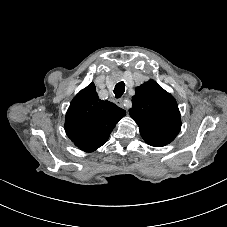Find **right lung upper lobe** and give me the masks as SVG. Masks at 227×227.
Instances as JSON below:
<instances>
[{"instance_id": "cb5924a9", "label": "right lung upper lobe", "mask_w": 227, "mask_h": 227, "mask_svg": "<svg viewBox=\"0 0 227 227\" xmlns=\"http://www.w3.org/2000/svg\"><path fill=\"white\" fill-rule=\"evenodd\" d=\"M125 113L114 103L100 100L94 83H90L70 103L65 117V131L77 147L93 152L107 141Z\"/></svg>"}]
</instances>
